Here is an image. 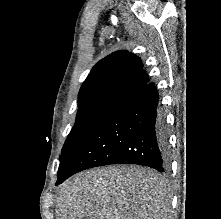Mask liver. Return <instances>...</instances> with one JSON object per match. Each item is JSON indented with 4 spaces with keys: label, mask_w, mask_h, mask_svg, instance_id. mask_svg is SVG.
Instances as JSON below:
<instances>
[{
    "label": "liver",
    "mask_w": 221,
    "mask_h": 219,
    "mask_svg": "<svg viewBox=\"0 0 221 219\" xmlns=\"http://www.w3.org/2000/svg\"><path fill=\"white\" fill-rule=\"evenodd\" d=\"M171 197L153 170L109 166L64 182L55 214L56 219H170Z\"/></svg>",
    "instance_id": "obj_1"
}]
</instances>
